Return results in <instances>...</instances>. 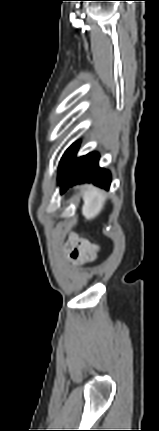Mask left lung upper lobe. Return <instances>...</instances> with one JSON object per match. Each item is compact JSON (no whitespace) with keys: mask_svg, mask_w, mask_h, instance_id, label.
Returning <instances> with one entry per match:
<instances>
[{"mask_svg":"<svg viewBox=\"0 0 159 431\" xmlns=\"http://www.w3.org/2000/svg\"><path fill=\"white\" fill-rule=\"evenodd\" d=\"M69 149H70V148H69ZM69 149L64 153V155H63V157H62V159H61V162H60V169H61V167H62L63 161H64V159H65V157H66V155H67V153H68Z\"/></svg>","mask_w":159,"mask_h":431,"instance_id":"obj_1","label":"left lung upper lobe"}]
</instances>
